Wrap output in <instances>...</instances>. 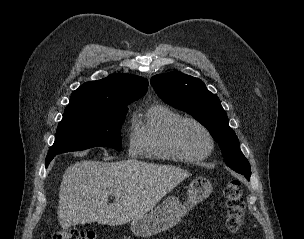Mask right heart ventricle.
<instances>
[{"label":"right heart ventricle","instance_id":"e07e8e85","mask_svg":"<svg viewBox=\"0 0 304 239\" xmlns=\"http://www.w3.org/2000/svg\"><path fill=\"white\" fill-rule=\"evenodd\" d=\"M180 117L182 116L178 112L164 104L150 105L144 115L136 118L134 123L140 138L138 154L154 160H182L168 139L171 125Z\"/></svg>","mask_w":304,"mask_h":239}]
</instances>
